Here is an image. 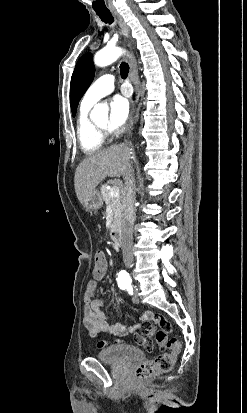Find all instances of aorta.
Segmentation results:
<instances>
[{
  "mask_svg": "<svg viewBox=\"0 0 247 413\" xmlns=\"http://www.w3.org/2000/svg\"><path fill=\"white\" fill-rule=\"evenodd\" d=\"M123 51L119 47H105L94 56V63L96 66L104 67L115 62L121 55ZM107 111V107L101 104L95 105L92 115L97 116L103 112Z\"/></svg>",
  "mask_w": 247,
  "mask_h": 413,
  "instance_id": "762f6f07",
  "label": "aorta"
}]
</instances>
